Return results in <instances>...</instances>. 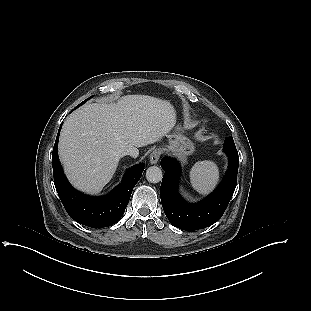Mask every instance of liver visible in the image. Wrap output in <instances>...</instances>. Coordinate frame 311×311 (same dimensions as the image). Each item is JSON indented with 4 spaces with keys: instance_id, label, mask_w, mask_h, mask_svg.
<instances>
[{
    "instance_id": "obj_1",
    "label": "liver",
    "mask_w": 311,
    "mask_h": 311,
    "mask_svg": "<svg viewBox=\"0 0 311 311\" xmlns=\"http://www.w3.org/2000/svg\"><path fill=\"white\" fill-rule=\"evenodd\" d=\"M176 123L170 102L126 95L116 104H86L65 121L59 156L70 182L99 193L113 177L121 157H138L139 147L160 141Z\"/></svg>"
}]
</instances>
